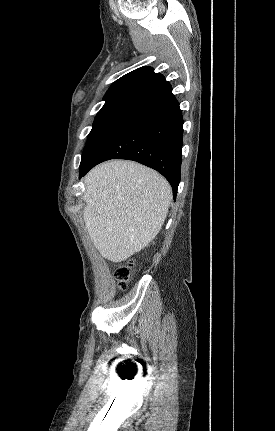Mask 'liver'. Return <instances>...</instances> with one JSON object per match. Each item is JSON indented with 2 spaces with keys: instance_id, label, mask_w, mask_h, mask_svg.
I'll use <instances>...</instances> for the list:
<instances>
[{
  "instance_id": "liver-1",
  "label": "liver",
  "mask_w": 275,
  "mask_h": 431,
  "mask_svg": "<svg viewBox=\"0 0 275 431\" xmlns=\"http://www.w3.org/2000/svg\"><path fill=\"white\" fill-rule=\"evenodd\" d=\"M84 183V222L103 258L122 262L157 236L172 199L171 186L159 173L114 160L93 168Z\"/></svg>"
}]
</instances>
